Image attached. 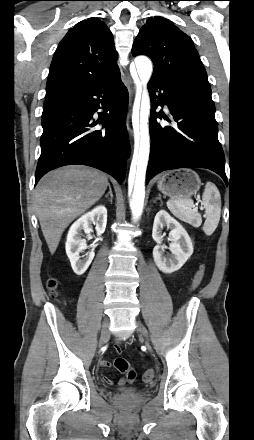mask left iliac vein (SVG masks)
I'll return each instance as SVG.
<instances>
[{
    "mask_svg": "<svg viewBox=\"0 0 254 440\" xmlns=\"http://www.w3.org/2000/svg\"><path fill=\"white\" fill-rule=\"evenodd\" d=\"M137 329H138V332H139L142 336H144L145 338H147V336H148L147 330L144 328V326H143L139 321H137Z\"/></svg>",
    "mask_w": 254,
    "mask_h": 440,
    "instance_id": "obj_1",
    "label": "left iliac vein"
}]
</instances>
